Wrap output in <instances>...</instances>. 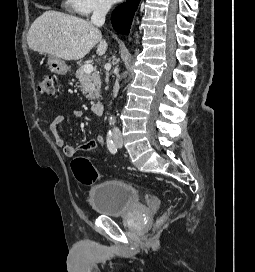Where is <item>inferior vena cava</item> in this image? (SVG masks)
Instances as JSON below:
<instances>
[{
  "label": "inferior vena cava",
  "instance_id": "obj_1",
  "mask_svg": "<svg viewBox=\"0 0 255 272\" xmlns=\"http://www.w3.org/2000/svg\"><path fill=\"white\" fill-rule=\"evenodd\" d=\"M110 8H111L110 0H100L97 3L91 16V23H93L96 26H102L105 22V16L107 15ZM113 133L119 134L120 130L117 127H114Z\"/></svg>",
  "mask_w": 255,
  "mask_h": 272
}]
</instances>
